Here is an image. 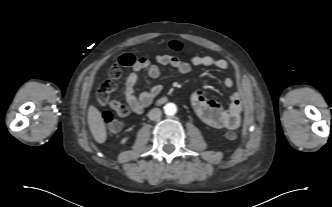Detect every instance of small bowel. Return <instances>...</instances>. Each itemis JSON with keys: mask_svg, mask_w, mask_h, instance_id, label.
<instances>
[{"mask_svg": "<svg viewBox=\"0 0 332 207\" xmlns=\"http://www.w3.org/2000/svg\"><path fill=\"white\" fill-rule=\"evenodd\" d=\"M155 60L160 65L175 68L181 74L190 73L193 66L215 67L220 70H227L229 68V63L226 60L216 59L208 55H197L187 60H182L176 56L161 54L157 55ZM142 70L146 71L147 75L152 79H157L161 74L158 65L146 58L137 59L133 66V71L128 75L125 83V97L127 101L125 113H119L118 115L125 116L129 113L140 114L160 94L162 87L159 84H155L136 95L135 86L138 81V72ZM224 84L227 87H231L234 84V80L227 77L224 80ZM192 103L201 120L211 127L237 129L241 124L240 115L243 109V101L240 92H234L231 95L230 105L227 109H223L214 101L207 100L201 91L193 93Z\"/></svg>", "mask_w": 332, "mask_h": 207, "instance_id": "small-bowel-1", "label": "small bowel"}]
</instances>
